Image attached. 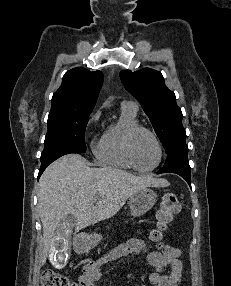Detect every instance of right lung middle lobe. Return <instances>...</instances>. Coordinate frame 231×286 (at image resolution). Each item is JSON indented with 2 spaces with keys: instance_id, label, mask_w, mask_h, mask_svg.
<instances>
[{
  "instance_id": "obj_1",
  "label": "right lung middle lobe",
  "mask_w": 231,
  "mask_h": 286,
  "mask_svg": "<svg viewBox=\"0 0 231 286\" xmlns=\"http://www.w3.org/2000/svg\"><path fill=\"white\" fill-rule=\"evenodd\" d=\"M92 111L51 110L41 161L54 154L86 152L85 129Z\"/></svg>"
}]
</instances>
